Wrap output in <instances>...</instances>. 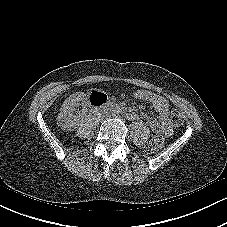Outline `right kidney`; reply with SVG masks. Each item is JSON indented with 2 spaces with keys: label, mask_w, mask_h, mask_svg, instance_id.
Returning a JSON list of instances; mask_svg holds the SVG:
<instances>
[{
  "label": "right kidney",
  "mask_w": 227,
  "mask_h": 227,
  "mask_svg": "<svg viewBox=\"0 0 227 227\" xmlns=\"http://www.w3.org/2000/svg\"><path fill=\"white\" fill-rule=\"evenodd\" d=\"M83 97V94H73L64 102L58 116V121H60L62 127L71 128L77 125L76 115H74V111L75 107H77L78 105V102L82 100Z\"/></svg>",
  "instance_id": "1"
}]
</instances>
